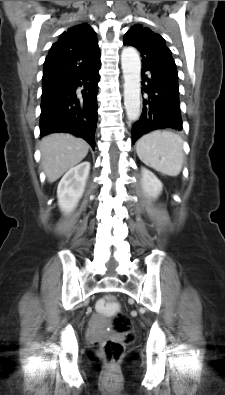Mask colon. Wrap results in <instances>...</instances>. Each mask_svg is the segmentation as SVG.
<instances>
[{
	"mask_svg": "<svg viewBox=\"0 0 225 395\" xmlns=\"http://www.w3.org/2000/svg\"><path fill=\"white\" fill-rule=\"evenodd\" d=\"M115 300L113 296H107L105 303L113 304ZM114 316V330L117 336L98 342L101 354L108 365L117 364L123 357L126 346L135 340L130 319L122 311L120 315Z\"/></svg>",
	"mask_w": 225,
	"mask_h": 395,
	"instance_id": "1",
	"label": "colon"
}]
</instances>
